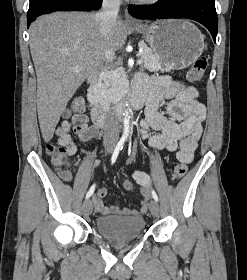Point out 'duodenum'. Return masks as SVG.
Wrapping results in <instances>:
<instances>
[{"label":"duodenum","instance_id":"duodenum-1","mask_svg":"<svg viewBox=\"0 0 247 280\" xmlns=\"http://www.w3.org/2000/svg\"><path fill=\"white\" fill-rule=\"evenodd\" d=\"M99 78L100 73H95L89 78L87 84V97L91 103V118L96 126L102 127L108 122L113 113L110 110L103 107L97 101L96 85L99 81ZM145 95L146 92L142 88L136 87L131 96L130 106L134 110H140L143 107ZM120 113L121 109L118 110V114Z\"/></svg>","mask_w":247,"mask_h":280}]
</instances>
